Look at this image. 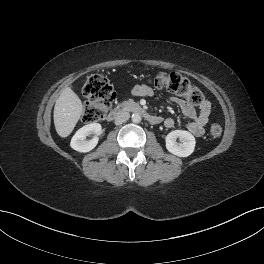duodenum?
Listing matches in <instances>:
<instances>
[{
	"label": "duodenum",
	"instance_id": "duodenum-1",
	"mask_svg": "<svg viewBox=\"0 0 264 264\" xmlns=\"http://www.w3.org/2000/svg\"><path fill=\"white\" fill-rule=\"evenodd\" d=\"M125 112L138 114L152 124H158L162 121L161 117L149 113L143 106L132 101H126L116 106L108 113L106 119L107 121H113Z\"/></svg>",
	"mask_w": 264,
	"mask_h": 264
}]
</instances>
